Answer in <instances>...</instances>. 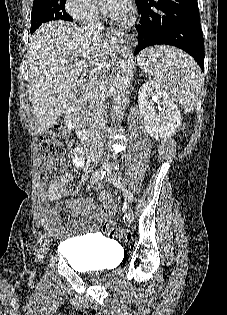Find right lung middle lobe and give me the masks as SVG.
<instances>
[{"instance_id": "obj_1", "label": "right lung middle lobe", "mask_w": 227, "mask_h": 315, "mask_svg": "<svg viewBox=\"0 0 227 315\" xmlns=\"http://www.w3.org/2000/svg\"><path fill=\"white\" fill-rule=\"evenodd\" d=\"M66 0H34L31 13V30L33 33L42 23L51 20L73 19L65 11Z\"/></svg>"}]
</instances>
